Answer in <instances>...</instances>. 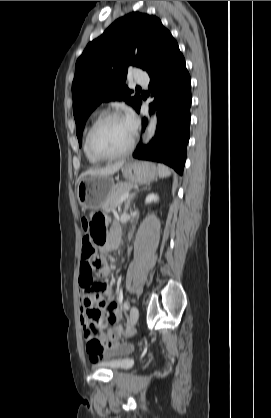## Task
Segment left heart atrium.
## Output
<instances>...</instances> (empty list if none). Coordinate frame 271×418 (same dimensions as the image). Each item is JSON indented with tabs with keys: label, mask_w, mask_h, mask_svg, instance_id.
I'll use <instances>...</instances> for the list:
<instances>
[{
	"label": "left heart atrium",
	"mask_w": 271,
	"mask_h": 418,
	"mask_svg": "<svg viewBox=\"0 0 271 418\" xmlns=\"http://www.w3.org/2000/svg\"><path fill=\"white\" fill-rule=\"evenodd\" d=\"M124 120L131 132L134 133L138 125V120L135 114L132 111L127 112Z\"/></svg>",
	"instance_id": "left-heart-atrium-1"
}]
</instances>
